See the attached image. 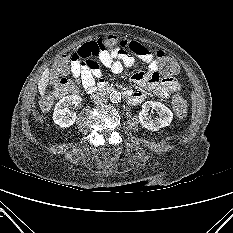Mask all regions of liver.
<instances>
[{
    "label": "liver",
    "instance_id": "1",
    "mask_svg": "<svg viewBox=\"0 0 233 233\" xmlns=\"http://www.w3.org/2000/svg\"><path fill=\"white\" fill-rule=\"evenodd\" d=\"M48 82H49V69H45L38 82V89L41 96H44Z\"/></svg>",
    "mask_w": 233,
    "mask_h": 233
}]
</instances>
